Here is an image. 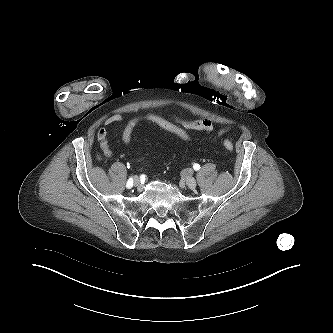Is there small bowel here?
<instances>
[{"label": "small bowel", "instance_id": "c3829d8e", "mask_svg": "<svg viewBox=\"0 0 333 333\" xmlns=\"http://www.w3.org/2000/svg\"><path fill=\"white\" fill-rule=\"evenodd\" d=\"M170 119L172 120L173 123L177 124L178 126L182 127L185 130L203 131L209 134L214 129L213 123L208 119L185 120L174 115H171ZM122 120H123L122 115L113 114L105 120L104 125L108 126L113 124H119L122 122ZM227 131H228L227 128L222 129L219 131L218 135L221 136L225 134ZM97 140L99 141L101 150L103 151L104 155L110 157L112 152L108 145L106 128L102 127L98 130Z\"/></svg>", "mask_w": 333, "mask_h": 333}]
</instances>
